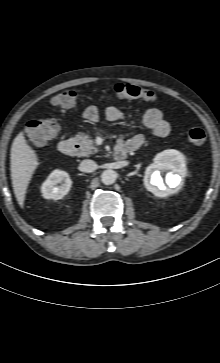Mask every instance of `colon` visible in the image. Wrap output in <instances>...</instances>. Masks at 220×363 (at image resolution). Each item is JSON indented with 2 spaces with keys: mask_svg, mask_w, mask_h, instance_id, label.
<instances>
[{
  "mask_svg": "<svg viewBox=\"0 0 220 363\" xmlns=\"http://www.w3.org/2000/svg\"><path fill=\"white\" fill-rule=\"evenodd\" d=\"M114 94L121 99H140L148 103L157 102V96L151 90L130 83H117L112 88ZM77 93L73 89H64L52 99V105L60 109H69L76 104ZM59 130V124L55 118L47 117L30 121L25 129V135L34 145L44 144L53 139ZM188 140L195 145H203L206 142L205 132L197 127L187 131Z\"/></svg>",
  "mask_w": 220,
  "mask_h": 363,
  "instance_id": "colon-1",
  "label": "colon"
}]
</instances>
